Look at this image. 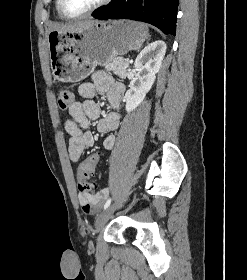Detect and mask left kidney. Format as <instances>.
<instances>
[{"instance_id":"5707ae66","label":"left kidney","mask_w":247,"mask_h":280,"mask_svg":"<svg viewBox=\"0 0 247 280\" xmlns=\"http://www.w3.org/2000/svg\"><path fill=\"white\" fill-rule=\"evenodd\" d=\"M165 53V42L157 40L147 45L137 56L134 67L138 73L131 80L129 89L125 94V109L128 113L135 110L142 103L151 89Z\"/></svg>"}]
</instances>
